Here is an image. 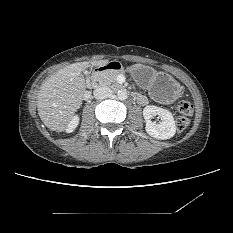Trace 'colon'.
<instances>
[{"instance_id": "obj_1", "label": "colon", "mask_w": 233, "mask_h": 233, "mask_svg": "<svg viewBox=\"0 0 233 233\" xmlns=\"http://www.w3.org/2000/svg\"><path fill=\"white\" fill-rule=\"evenodd\" d=\"M177 110L179 116L176 120V128L179 132H182L188 127L194 109L190 102L182 100L178 102Z\"/></svg>"}]
</instances>
